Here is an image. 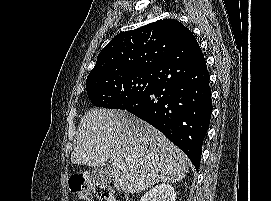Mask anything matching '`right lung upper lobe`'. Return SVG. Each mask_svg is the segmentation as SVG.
I'll use <instances>...</instances> for the list:
<instances>
[{"label":"right lung upper lobe","mask_w":271,"mask_h":201,"mask_svg":"<svg viewBox=\"0 0 271 201\" xmlns=\"http://www.w3.org/2000/svg\"><path fill=\"white\" fill-rule=\"evenodd\" d=\"M191 33L175 19H163L116 35L99 53L87 78L119 73H154Z\"/></svg>","instance_id":"cb5924a9"}]
</instances>
